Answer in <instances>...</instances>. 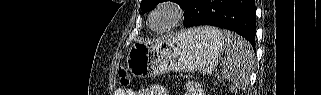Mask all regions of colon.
<instances>
[{
    "instance_id": "colon-1",
    "label": "colon",
    "mask_w": 321,
    "mask_h": 95,
    "mask_svg": "<svg viewBox=\"0 0 321 95\" xmlns=\"http://www.w3.org/2000/svg\"><path fill=\"white\" fill-rule=\"evenodd\" d=\"M118 78L120 83L123 86H128L131 83V75L130 72L126 68H119L118 69Z\"/></svg>"
}]
</instances>
